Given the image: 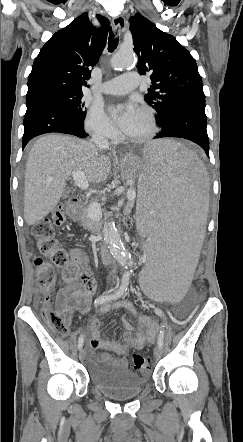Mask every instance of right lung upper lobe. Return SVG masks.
<instances>
[{
  "label": "right lung upper lobe",
  "instance_id": "right-lung-upper-lobe-1",
  "mask_svg": "<svg viewBox=\"0 0 243 442\" xmlns=\"http://www.w3.org/2000/svg\"><path fill=\"white\" fill-rule=\"evenodd\" d=\"M101 27L96 28L84 13L55 33L35 58L28 77L26 97L53 90L82 92L105 45L110 22L97 15Z\"/></svg>",
  "mask_w": 243,
  "mask_h": 442
}]
</instances>
